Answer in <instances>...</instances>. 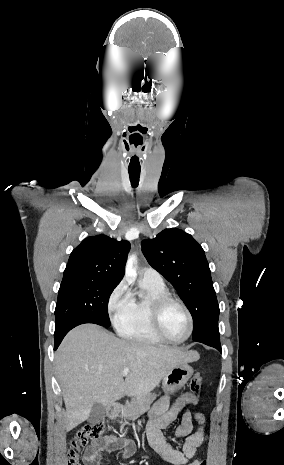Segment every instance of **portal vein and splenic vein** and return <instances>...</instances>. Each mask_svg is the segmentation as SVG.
Here are the masks:
<instances>
[{"label":"portal vein and splenic vein","mask_w":284,"mask_h":465,"mask_svg":"<svg viewBox=\"0 0 284 465\" xmlns=\"http://www.w3.org/2000/svg\"><path fill=\"white\" fill-rule=\"evenodd\" d=\"M128 373H130L128 367H126V369H123V371H122L123 377H127Z\"/></svg>","instance_id":"portal-vein-and-splenic-vein-1"}]
</instances>
